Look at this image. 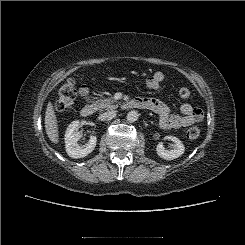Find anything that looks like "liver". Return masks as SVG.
Returning <instances> with one entry per match:
<instances>
[{"mask_svg":"<svg viewBox=\"0 0 245 245\" xmlns=\"http://www.w3.org/2000/svg\"><path fill=\"white\" fill-rule=\"evenodd\" d=\"M45 130L50 141L54 144L59 142L58 123L55 111L51 102L48 103L45 112Z\"/></svg>","mask_w":245,"mask_h":245,"instance_id":"6515ba94","label":"liver"}]
</instances>
